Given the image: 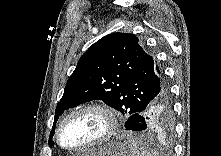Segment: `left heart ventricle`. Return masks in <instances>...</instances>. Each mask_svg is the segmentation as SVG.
<instances>
[{
  "label": "left heart ventricle",
  "instance_id": "obj_1",
  "mask_svg": "<svg viewBox=\"0 0 221 156\" xmlns=\"http://www.w3.org/2000/svg\"><path fill=\"white\" fill-rule=\"evenodd\" d=\"M105 127L106 121L101 114L93 111L83 112L66 122L61 140L66 147L84 146L99 138Z\"/></svg>",
  "mask_w": 221,
  "mask_h": 156
}]
</instances>
